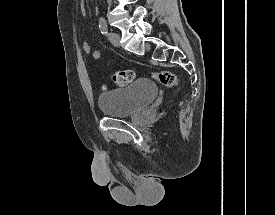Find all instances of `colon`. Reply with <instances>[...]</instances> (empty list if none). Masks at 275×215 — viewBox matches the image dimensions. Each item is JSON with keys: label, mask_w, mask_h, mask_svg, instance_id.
Masks as SVG:
<instances>
[{"label": "colon", "mask_w": 275, "mask_h": 215, "mask_svg": "<svg viewBox=\"0 0 275 215\" xmlns=\"http://www.w3.org/2000/svg\"><path fill=\"white\" fill-rule=\"evenodd\" d=\"M153 77L160 84L167 87H176L178 85V79L176 75L167 70H159L153 73ZM135 78V73L132 70H119L113 74L112 80L116 86H125L132 82ZM105 89L109 86H105Z\"/></svg>", "instance_id": "1"}]
</instances>
